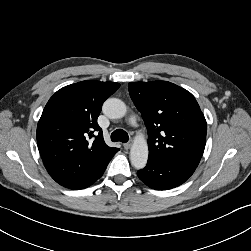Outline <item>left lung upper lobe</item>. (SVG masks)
<instances>
[{"mask_svg":"<svg viewBox=\"0 0 251 251\" xmlns=\"http://www.w3.org/2000/svg\"><path fill=\"white\" fill-rule=\"evenodd\" d=\"M129 93L148 132L149 159L197 167L207 124L195 97L167 81L130 82Z\"/></svg>","mask_w":251,"mask_h":251,"instance_id":"5c2ea615","label":"left lung upper lobe"}]
</instances>
